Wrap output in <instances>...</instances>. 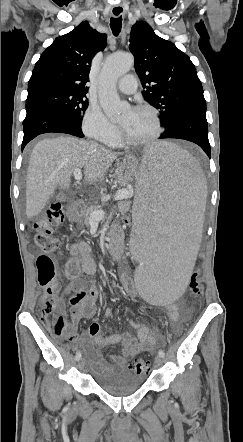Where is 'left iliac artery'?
I'll use <instances>...</instances> for the list:
<instances>
[{"mask_svg": "<svg viewBox=\"0 0 243 442\" xmlns=\"http://www.w3.org/2000/svg\"><path fill=\"white\" fill-rule=\"evenodd\" d=\"M158 354L163 358L165 356V353L162 349L159 350Z\"/></svg>", "mask_w": 243, "mask_h": 442, "instance_id": "left-iliac-artery-1", "label": "left iliac artery"}]
</instances>
